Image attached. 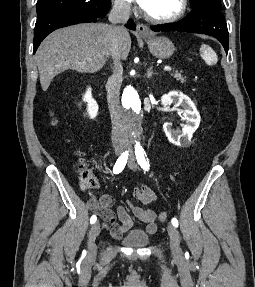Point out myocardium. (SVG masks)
Segmentation results:
<instances>
[{
    "label": "myocardium",
    "mask_w": 255,
    "mask_h": 287,
    "mask_svg": "<svg viewBox=\"0 0 255 287\" xmlns=\"http://www.w3.org/2000/svg\"><path fill=\"white\" fill-rule=\"evenodd\" d=\"M140 33H149V32H140ZM168 33H175V32H168ZM131 39H136V38H131ZM144 39H154V38H144ZM166 39H175V38H166ZM146 48H153V47H146Z\"/></svg>",
    "instance_id": "f54148a6"
}]
</instances>
